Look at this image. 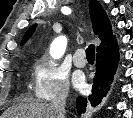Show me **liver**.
<instances>
[{
	"instance_id": "liver-1",
	"label": "liver",
	"mask_w": 133,
	"mask_h": 118,
	"mask_svg": "<svg viewBox=\"0 0 133 118\" xmlns=\"http://www.w3.org/2000/svg\"><path fill=\"white\" fill-rule=\"evenodd\" d=\"M1 118H55L51 106L44 103L19 104L6 110Z\"/></svg>"
}]
</instances>
